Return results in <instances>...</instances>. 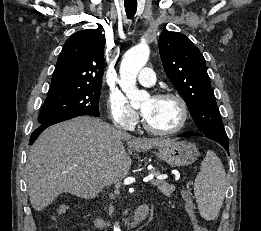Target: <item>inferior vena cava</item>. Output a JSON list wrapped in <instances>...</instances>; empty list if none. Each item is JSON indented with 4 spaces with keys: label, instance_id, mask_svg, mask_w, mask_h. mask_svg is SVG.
Listing matches in <instances>:
<instances>
[{
    "label": "inferior vena cava",
    "instance_id": "obj_1",
    "mask_svg": "<svg viewBox=\"0 0 261 231\" xmlns=\"http://www.w3.org/2000/svg\"><path fill=\"white\" fill-rule=\"evenodd\" d=\"M115 127L119 130H121V126L119 124H115Z\"/></svg>",
    "mask_w": 261,
    "mask_h": 231
}]
</instances>
